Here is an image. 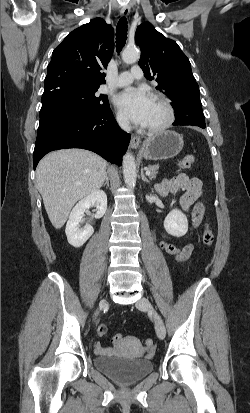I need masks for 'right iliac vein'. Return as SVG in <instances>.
I'll return each mask as SVG.
<instances>
[{
	"instance_id": "right-iliac-vein-1",
	"label": "right iliac vein",
	"mask_w": 250,
	"mask_h": 413,
	"mask_svg": "<svg viewBox=\"0 0 250 413\" xmlns=\"http://www.w3.org/2000/svg\"><path fill=\"white\" fill-rule=\"evenodd\" d=\"M105 304V300H102L101 302H100V307H102L103 305ZM98 314V312L96 313V315Z\"/></svg>"
}]
</instances>
